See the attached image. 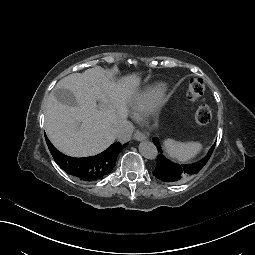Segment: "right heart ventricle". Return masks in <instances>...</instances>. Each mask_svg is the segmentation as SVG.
<instances>
[{
	"mask_svg": "<svg viewBox=\"0 0 255 255\" xmlns=\"http://www.w3.org/2000/svg\"><path fill=\"white\" fill-rule=\"evenodd\" d=\"M162 92V87H149L145 91L137 94L131 100V108L135 115L147 112L156 102Z\"/></svg>",
	"mask_w": 255,
	"mask_h": 255,
	"instance_id": "1",
	"label": "right heart ventricle"
}]
</instances>
